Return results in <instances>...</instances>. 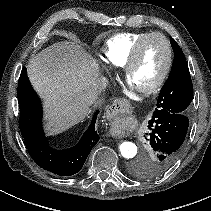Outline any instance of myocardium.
Here are the masks:
<instances>
[{
	"label": "myocardium",
	"instance_id": "obj_1",
	"mask_svg": "<svg viewBox=\"0 0 211 211\" xmlns=\"http://www.w3.org/2000/svg\"><path fill=\"white\" fill-rule=\"evenodd\" d=\"M151 37H159L162 39V41L164 42V44L166 46V50H167V60H166V64H165V67H164L162 73L160 74L158 79L151 86L144 88V89H137L140 93L146 94V95L153 94V93L157 92L162 87V85L165 83V81L171 71V67L173 64V50H172V46H171L169 39L164 34H162L160 32L146 33L136 42V44L134 45V47L131 51V54H130L128 60L126 61L125 65H124V76H125V79L128 80L129 74L139 58V54H140L143 44L146 42V40H148Z\"/></svg>",
	"mask_w": 211,
	"mask_h": 211
}]
</instances>
